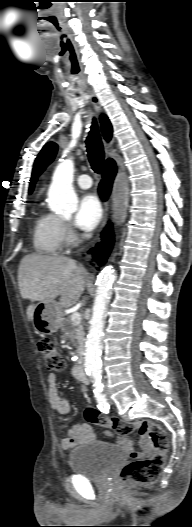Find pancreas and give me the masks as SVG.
<instances>
[{
  "label": "pancreas",
  "instance_id": "obj_1",
  "mask_svg": "<svg viewBox=\"0 0 192 527\" xmlns=\"http://www.w3.org/2000/svg\"><path fill=\"white\" fill-rule=\"evenodd\" d=\"M61 332L64 339L70 340L79 347L84 342V331L82 324L74 325L70 319H65L61 323Z\"/></svg>",
  "mask_w": 192,
  "mask_h": 527
}]
</instances>
